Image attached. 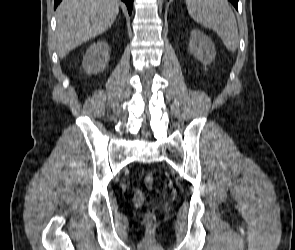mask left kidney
Returning <instances> with one entry per match:
<instances>
[{"instance_id":"obj_1","label":"left kidney","mask_w":295,"mask_h":250,"mask_svg":"<svg viewBox=\"0 0 295 250\" xmlns=\"http://www.w3.org/2000/svg\"><path fill=\"white\" fill-rule=\"evenodd\" d=\"M189 50L204 65L210 64L216 56L213 41L198 29L191 32Z\"/></svg>"}]
</instances>
